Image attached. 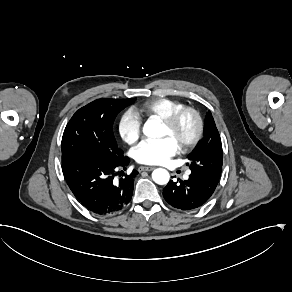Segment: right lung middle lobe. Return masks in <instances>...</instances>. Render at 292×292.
Listing matches in <instances>:
<instances>
[{"instance_id":"dd1d6c3e","label":"right lung middle lobe","mask_w":292,"mask_h":292,"mask_svg":"<svg viewBox=\"0 0 292 292\" xmlns=\"http://www.w3.org/2000/svg\"><path fill=\"white\" fill-rule=\"evenodd\" d=\"M135 100L98 99L77 110L64 130L62 155L86 154L109 161L122 158L113 123L117 114Z\"/></svg>"}]
</instances>
